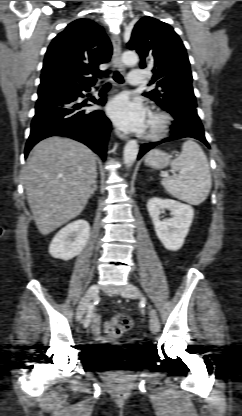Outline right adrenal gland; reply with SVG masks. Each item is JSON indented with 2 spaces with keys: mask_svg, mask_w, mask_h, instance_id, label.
I'll return each mask as SVG.
<instances>
[{
  "mask_svg": "<svg viewBox=\"0 0 242 416\" xmlns=\"http://www.w3.org/2000/svg\"><path fill=\"white\" fill-rule=\"evenodd\" d=\"M95 191H97V184H95V186H94V192H95ZM94 192H93V193H94Z\"/></svg>",
  "mask_w": 242,
  "mask_h": 416,
  "instance_id": "obj_1",
  "label": "right adrenal gland"
}]
</instances>
